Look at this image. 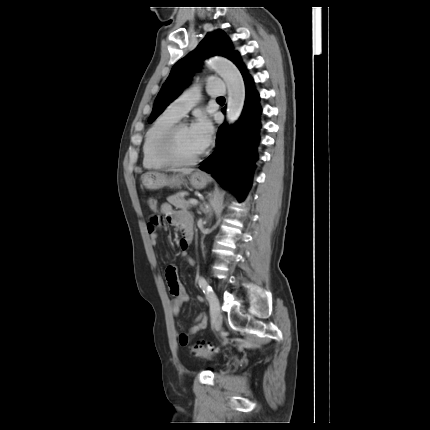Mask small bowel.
<instances>
[{
  "label": "small bowel",
  "mask_w": 430,
  "mask_h": 430,
  "mask_svg": "<svg viewBox=\"0 0 430 430\" xmlns=\"http://www.w3.org/2000/svg\"><path fill=\"white\" fill-rule=\"evenodd\" d=\"M161 212L165 215V219L151 218L147 224V231L149 234V241L152 246H156L158 242V230L166 224L173 225L181 233L182 238L179 241L182 257L191 266L196 265V261L188 256L187 249L193 236L192 220L186 212L175 210L171 204L163 203L161 205ZM168 287L172 295L171 307L174 315L180 313L181 308L189 301L183 285L177 278L175 267H169L166 273ZM198 302H202L201 296L197 297ZM207 325V316L201 313L195 319V325L192 326L188 332H183L179 335L178 343L185 347L189 344L191 337L203 330Z\"/></svg>",
  "instance_id": "c3829d8e"
}]
</instances>
